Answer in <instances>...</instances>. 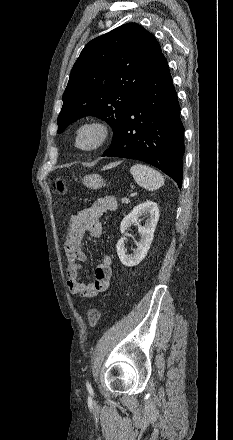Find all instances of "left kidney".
I'll list each match as a JSON object with an SVG mask.
<instances>
[{
  "instance_id": "left-kidney-1",
  "label": "left kidney",
  "mask_w": 233,
  "mask_h": 440,
  "mask_svg": "<svg viewBox=\"0 0 233 440\" xmlns=\"http://www.w3.org/2000/svg\"><path fill=\"white\" fill-rule=\"evenodd\" d=\"M149 213L145 226L139 225V218ZM159 220V208L157 203L146 201L133 208V210L124 217L120 225V231L124 234L133 224L138 225V232L141 235L140 241L136 242L137 249L133 254H126L125 238H120L117 242L116 249L121 263L127 267L138 265L147 255L151 242L154 237V231Z\"/></svg>"
}]
</instances>
